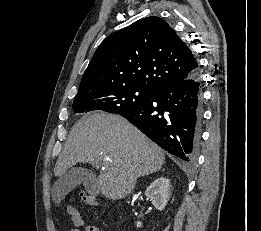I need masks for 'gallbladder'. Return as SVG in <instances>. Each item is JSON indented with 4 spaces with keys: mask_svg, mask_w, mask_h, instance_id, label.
Listing matches in <instances>:
<instances>
[{
    "mask_svg": "<svg viewBox=\"0 0 261 231\" xmlns=\"http://www.w3.org/2000/svg\"><path fill=\"white\" fill-rule=\"evenodd\" d=\"M80 184H83L90 193L95 195L99 193L94 174L84 167H73L55 183L53 190L54 200H61ZM56 195L57 199L55 198Z\"/></svg>",
    "mask_w": 261,
    "mask_h": 231,
    "instance_id": "bac80fb5",
    "label": "gallbladder"
}]
</instances>
